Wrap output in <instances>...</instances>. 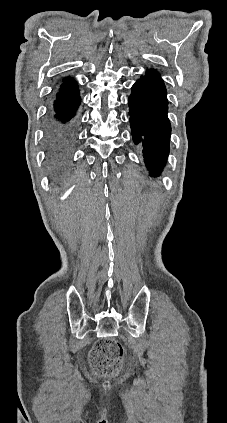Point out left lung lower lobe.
I'll return each instance as SVG.
<instances>
[{"mask_svg": "<svg viewBox=\"0 0 227 423\" xmlns=\"http://www.w3.org/2000/svg\"><path fill=\"white\" fill-rule=\"evenodd\" d=\"M166 89L159 74L147 71L132 87L129 97L133 141L142 147L151 176H158L169 154L171 126L167 117Z\"/></svg>", "mask_w": 227, "mask_h": 423, "instance_id": "0a47b994", "label": "left lung lower lobe"}]
</instances>
